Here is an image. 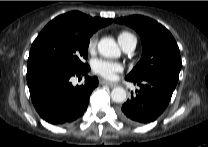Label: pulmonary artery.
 <instances>
[{
    "label": "pulmonary artery",
    "mask_w": 208,
    "mask_h": 147,
    "mask_svg": "<svg viewBox=\"0 0 208 147\" xmlns=\"http://www.w3.org/2000/svg\"><path fill=\"white\" fill-rule=\"evenodd\" d=\"M136 44H137V40L135 38V36H133L132 34L126 39V41L124 42V44L122 45V49L124 50V52L126 53H132L135 48H136Z\"/></svg>",
    "instance_id": "1"
}]
</instances>
